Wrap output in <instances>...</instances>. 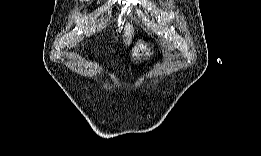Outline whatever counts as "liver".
Returning <instances> with one entry per match:
<instances>
[{
    "mask_svg": "<svg viewBox=\"0 0 261 156\" xmlns=\"http://www.w3.org/2000/svg\"><path fill=\"white\" fill-rule=\"evenodd\" d=\"M134 36V29L133 27L129 24L126 23L124 27V34H123V42L126 46H129L132 42V38Z\"/></svg>",
    "mask_w": 261,
    "mask_h": 156,
    "instance_id": "obj_1",
    "label": "liver"
}]
</instances>
